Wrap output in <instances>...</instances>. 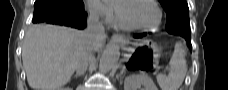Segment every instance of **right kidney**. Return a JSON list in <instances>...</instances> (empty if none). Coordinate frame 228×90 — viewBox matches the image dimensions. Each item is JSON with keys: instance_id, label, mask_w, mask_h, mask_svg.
Returning a JSON list of instances; mask_svg holds the SVG:
<instances>
[{"instance_id": "1", "label": "right kidney", "mask_w": 228, "mask_h": 90, "mask_svg": "<svg viewBox=\"0 0 228 90\" xmlns=\"http://www.w3.org/2000/svg\"><path fill=\"white\" fill-rule=\"evenodd\" d=\"M61 90H70V88H62Z\"/></svg>"}]
</instances>
